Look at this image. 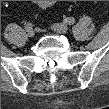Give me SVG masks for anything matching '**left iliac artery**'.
Segmentation results:
<instances>
[{"label":"left iliac artery","mask_w":109,"mask_h":109,"mask_svg":"<svg viewBox=\"0 0 109 109\" xmlns=\"http://www.w3.org/2000/svg\"><path fill=\"white\" fill-rule=\"evenodd\" d=\"M64 22L68 25H73L75 23V19L73 17H68L64 19Z\"/></svg>","instance_id":"44dca946"}]
</instances>
